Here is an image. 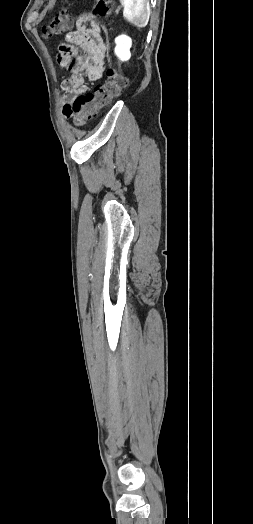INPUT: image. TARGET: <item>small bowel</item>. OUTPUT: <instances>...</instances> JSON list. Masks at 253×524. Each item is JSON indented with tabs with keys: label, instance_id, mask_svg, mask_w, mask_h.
I'll use <instances>...</instances> for the list:
<instances>
[{
	"label": "small bowel",
	"instance_id": "1",
	"mask_svg": "<svg viewBox=\"0 0 253 524\" xmlns=\"http://www.w3.org/2000/svg\"><path fill=\"white\" fill-rule=\"evenodd\" d=\"M62 42L57 61L71 72L62 87L64 101L71 103L86 90V80L97 81L102 77L105 44L99 26L89 15L80 16L77 29L71 28ZM77 48L82 55H75Z\"/></svg>",
	"mask_w": 253,
	"mask_h": 524
}]
</instances>
